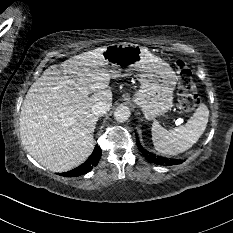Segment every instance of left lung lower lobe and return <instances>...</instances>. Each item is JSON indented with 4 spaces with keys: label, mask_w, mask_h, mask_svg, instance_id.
Wrapping results in <instances>:
<instances>
[{
    "label": "left lung lower lobe",
    "mask_w": 233,
    "mask_h": 233,
    "mask_svg": "<svg viewBox=\"0 0 233 233\" xmlns=\"http://www.w3.org/2000/svg\"><path fill=\"white\" fill-rule=\"evenodd\" d=\"M136 145L139 148L140 152L145 156V158L150 163L159 164V165H176V164H180L183 162V160L162 158V157L156 156L155 154L145 150L141 146L137 135H136Z\"/></svg>",
    "instance_id": "left-lung-lower-lobe-1"
}]
</instances>
